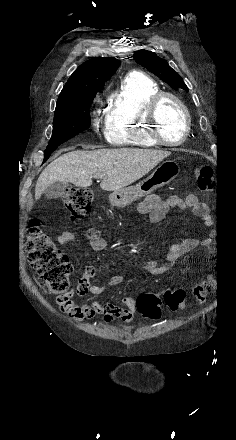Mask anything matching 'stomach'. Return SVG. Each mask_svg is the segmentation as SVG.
<instances>
[{"label":"stomach","mask_w":236,"mask_h":440,"mask_svg":"<svg viewBox=\"0 0 236 440\" xmlns=\"http://www.w3.org/2000/svg\"><path fill=\"white\" fill-rule=\"evenodd\" d=\"M179 172L180 167L176 161L166 160L137 185L114 191L109 197L110 202L115 207H125L151 194L157 188L167 185Z\"/></svg>","instance_id":"0dacf381"}]
</instances>
